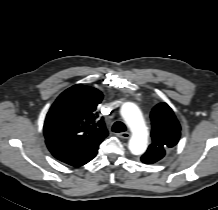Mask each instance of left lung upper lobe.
<instances>
[{
    "instance_id": "5c2ea615",
    "label": "left lung upper lobe",
    "mask_w": 218,
    "mask_h": 210,
    "mask_svg": "<svg viewBox=\"0 0 218 210\" xmlns=\"http://www.w3.org/2000/svg\"><path fill=\"white\" fill-rule=\"evenodd\" d=\"M152 143L143 154V163L152 164L161 160L180 138V124L166 103L157 104L151 111Z\"/></svg>"
}]
</instances>
